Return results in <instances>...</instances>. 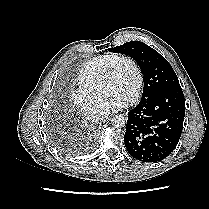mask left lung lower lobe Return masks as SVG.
<instances>
[{"label":"left lung lower lobe","instance_id":"0a47b994","mask_svg":"<svg viewBox=\"0 0 209 209\" xmlns=\"http://www.w3.org/2000/svg\"><path fill=\"white\" fill-rule=\"evenodd\" d=\"M185 116L180 84L165 87L129 110L124 142L128 153L144 162H158L175 149Z\"/></svg>","mask_w":209,"mask_h":209}]
</instances>
